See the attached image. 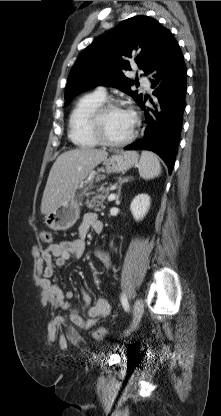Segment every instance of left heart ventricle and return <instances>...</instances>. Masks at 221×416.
I'll return each instance as SVG.
<instances>
[{
  "label": "left heart ventricle",
  "instance_id": "b2bd125f",
  "mask_svg": "<svg viewBox=\"0 0 221 416\" xmlns=\"http://www.w3.org/2000/svg\"><path fill=\"white\" fill-rule=\"evenodd\" d=\"M132 126L133 116L125 109H110L103 117L104 132L112 141L125 139L130 134Z\"/></svg>",
  "mask_w": 221,
  "mask_h": 416
}]
</instances>
